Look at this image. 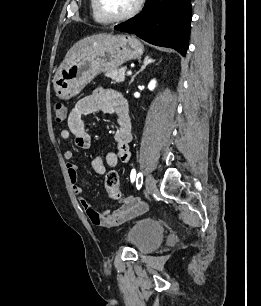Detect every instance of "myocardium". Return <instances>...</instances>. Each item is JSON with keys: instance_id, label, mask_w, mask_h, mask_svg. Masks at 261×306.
Returning <instances> with one entry per match:
<instances>
[{"instance_id": "f54148a6", "label": "myocardium", "mask_w": 261, "mask_h": 306, "mask_svg": "<svg viewBox=\"0 0 261 306\" xmlns=\"http://www.w3.org/2000/svg\"><path fill=\"white\" fill-rule=\"evenodd\" d=\"M144 3V0H137L134 7L128 11L127 13L123 15H111L110 13L107 12V10L104 7L103 1L102 0H96V9L98 13L107 21V22H120V21H125L133 16H135L142 8Z\"/></svg>"}]
</instances>
